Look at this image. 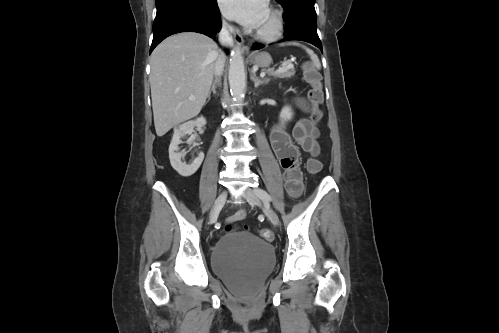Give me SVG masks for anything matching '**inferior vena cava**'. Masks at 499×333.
I'll return each mask as SVG.
<instances>
[{
    "label": "inferior vena cava",
    "mask_w": 499,
    "mask_h": 333,
    "mask_svg": "<svg viewBox=\"0 0 499 333\" xmlns=\"http://www.w3.org/2000/svg\"><path fill=\"white\" fill-rule=\"evenodd\" d=\"M231 31H232L231 27L227 26L226 24L222 25L221 31L219 33V42L222 46L231 47L233 45ZM224 62H225L224 54H221L215 63L214 73L216 76H220L222 74L224 68Z\"/></svg>",
    "instance_id": "inferior-vena-cava-1"
}]
</instances>
